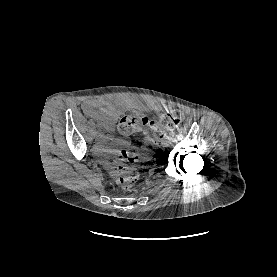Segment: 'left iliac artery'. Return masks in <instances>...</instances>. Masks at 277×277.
<instances>
[{
  "instance_id": "1",
  "label": "left iliac artery",
  "mask_w": 277,
  "mask_h": 277,
  "mask_svg": "<svg viewBox=\"0 0 277 277\" xmlns=\"http://www.w3.org/2000/svg\"><path fill=\"white\" fill-rule=\"evenodd\" d=\"M175 136V133L174 132H171L169 135H166L165 138L167 140H173V137Z\"/></svg>"
}]
</instances>
